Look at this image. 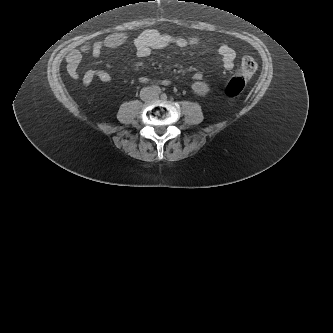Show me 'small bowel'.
<instances>
[{"label": "small bowel", "instance_id": "1", "mask_svg": "<svg viewBox=\"0 0 333 333\" xmlns=\"http://www.w3.org/2000/svg\"><path fill=\"white\" fill-rule=\"evenodd\" d=\"M127 42V37L123 33H113L108 35L101 41L95 42L92 45H84L80 49L71 48L65 53L66 69L68 75L74 79L78 80L81 78L82 84L87 87L94 79H98L102 83L110 84L113 80L110 73L105 70L100 69H90L86 71L81 77L78 71L79 64L82 60V54L89 52L93 57L98 58L101 56L104 48L113 49ZM133 45L135 47V52L139 58H147L153 49H163L166 47L174 46L181 49H190L194 45L192 38L183 36H163L161 34L146 33L133 40ZM218 54L220 56L223 67L230 71L234 68V61L236 58L235 51L227 46L220 45L218 47ZM194 81H201L203 74L201 72H196L192 76ZM139 81L144 83L147 81L145 77H140ZM163 84H170L169 80L163 81Z\"/></svg>", "mask_w": 333, "mask_h": 333}]
</instances>
